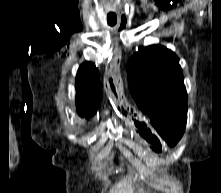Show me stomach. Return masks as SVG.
<instances>
[{"label": "stomach", "instance_id": "obj_1", "mask_svg": "<svg viewBox=\"0 0 221 193\" xmlns=\"http://www.w3.org/2000/svg\"><path fill=\"white\" fill-rule=\"evenodd\" d=\"M109 101L114 103V107L118 109L120 115H124V120L133 130L132 137L136 142H147V152H152V155H166V150H163L161 142V138H164L165 134L154 133L149 120H143V115H137L136 104L129 102V98H110Z\"/></svg>", "mask_w": 221, "mask_h": 193}]
</instances>
